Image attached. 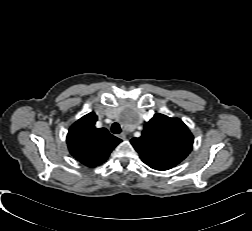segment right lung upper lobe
I'll list each match as a JSON object with an SVG mask.
<instances>
[{"instance_id":"obj_1","label":"right lung upper lobe","mask_w":252,"mask_h":231,"mask_svg":"<svg viewBox=\"0 0 252 231\" xmlns=\"http://www.w3.org/2000/svg\"><path fill=\"white\" fill-rule=\"evenodd\" d=\"M97 116L91 112L69 129L67 145L71 155L88 167L102 164L111 151L122 141L105 128H96Z\"/></svg>"}]
</instances>
